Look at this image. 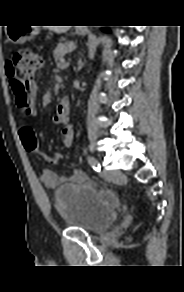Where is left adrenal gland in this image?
I'll return each instance as SVG.
<instances>
[{"mask_svg": "<svg viewBox=\"0 0 184 292\" xmlns=\"http://www.w3.org/2000/svg\"><path fill=\"white\" fill-rule=\"evenodd\" d=\"M83 66H84V63H82V61L80 60V61L78 62V69H82Z\"/></svg>", "mask_w": 184, "mask_h": 292, "instance_id": "a2214340", "label": "left adrenal gland"}]
</instances>
